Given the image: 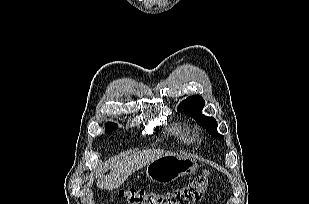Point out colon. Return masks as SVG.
I'll use <instances>...</instances> for the list:
<instances>
[{
  "label": "colon",
  "mask_w": 309,
  "mask_h": 204,
  "mask_svg": "<svg viewBox=\"0 0 309 204\" xmlns=\"http://www.w3.org/2000/svg\"><path fill=\"white\" fill-rule=\"evenodd\" d=\"M209 183L210 175L205 172L186 185L170 192L157 193L139 189H126L120 191V196L128 204H192L201 198Z\"/></svg>",
  "instance_id": "colon-1"
}]
</instances>
